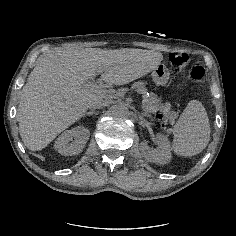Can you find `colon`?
Returning a JSON list of instances; mask_svg holds the SVG:
<instances>
[{
  "label": "colon",
  "mask_w": 236,
  "mask_h": 236,
  "mask_svg": "<svg viewBox=\"0 0 236 236\" xmlns=\"http://www.w3.org/2000/svg\"><path fill=\"white\" fill-rule=\"evenodd\" d=\"M168 61L172 68L180 72L181 67L185 66L189 61V55L184 52H171L168 55ZM206 76V69L201 61H195L189 71V77L193 81H201Z\"/></svg>",
  "instance_id": "colon-1"
}]
</instances>
